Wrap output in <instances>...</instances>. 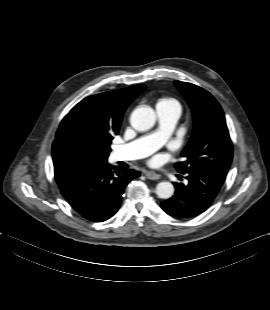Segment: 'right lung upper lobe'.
Segmentation results:
<instances>
[{"instance_id":"cb5924a9","label":"right lung upper lobe","mask_w":270,"mask_h":310,"mask_svg":"<svg viewBox=\"0 0 270 310\" xmlns=\"http://www.w3.org/2000/svg\"><path fill=\"white\" fill-rule=\"evenodd\" d=\"M145 85L109 91L83 99L64 117L53 142L54 167L101 158V144L119 133L123 114Z\"/></svg>"}]
</instances>
